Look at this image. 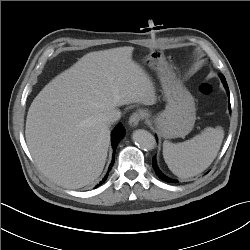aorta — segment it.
<instances>
[{"mask_svg":"<svg viewBox=\"0 0 250 250\" xmlns=\"http://www.w3.org/2000/svg\"><path fill=\"white\" fill-rule=\"evenodd\" d=\"M133 141L143 150H152L155 148L156 141L154 136L144 129H138L133 132Z\"/></svg>","mask_w":250,"mask_h":250,"instance_id":"762f6f07","label":"aorta"}]
</instances>
